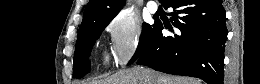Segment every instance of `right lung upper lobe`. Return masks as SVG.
I'll return each instance as SVG.
<instances>
[{
  "label": "right lung upper lobe",
  "instance_id": "cb5924a9",
  "mask_svg": "<svg viewBox=\"0 0 260 84\" xmlns=\"http://www.w3.org/2000/svg\"><path fill=\"white\" fill-rule=\"evenodd\" d=\"M161 1L162 3L165 2V0ZM124 3L125 0H89L77 37L95 22L112 20Z\"/></svg>",
  "mask_w": 260,
  "mask_h": 84
}]
</instances>
